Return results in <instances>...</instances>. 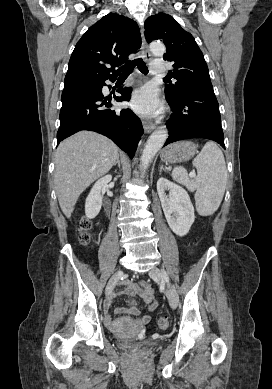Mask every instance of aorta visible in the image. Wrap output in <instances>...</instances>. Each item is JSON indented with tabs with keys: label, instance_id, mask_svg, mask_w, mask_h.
<instances>
[{
	"label": "aorta",
	"instance_id": "762f6f07",
	"mask_svg": "<svg viewBox=\"0 0 272 389\" xmlns=\"http://www.w3.org/2000/svg\"><path fill=\"white\" fill-rule=\"evenodd\" d=\"M150 51L154 56H162L165 52V46L161 42H152L150 44ZM167 137L168 131L165 128L157 129L150 135L141 155L142 173L145 172L151 160L164 145Z\"/></svg>",
	"mask_w": 272,
	"mask_h": 389
}]
</instances>
